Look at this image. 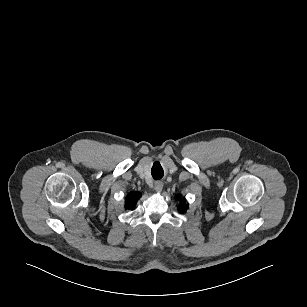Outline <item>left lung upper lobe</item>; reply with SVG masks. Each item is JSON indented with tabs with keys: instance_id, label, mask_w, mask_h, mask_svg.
I'll return each instance as SVG.
<instances>
[{
	"instance_id": "1",
	"label": "left lung upper lobe",
	"mask_w": 307,
	"mask_h": 307,
	"mask_svg": "<svg viewBox=\"0 0 307 307\" xmlns=\"http://www.w3.org/2000/svg\"><path fill=\"white\" fill-rule=\"evenodd\" d=\"M177 199H180V196H177ZM187 209L188 204H186L185 199H183L178 206V211L184 213Z\"/></svg>"
}]
</instances>
